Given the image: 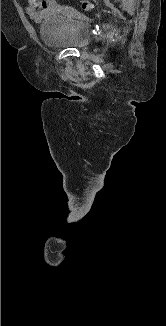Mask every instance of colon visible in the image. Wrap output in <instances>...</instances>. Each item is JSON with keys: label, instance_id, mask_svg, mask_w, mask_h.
Instances as JSON below:
<instances>
[{"label": "colon", "instance_id": "1", "mask_svg": "<svg viewBox=\"0 0 166 326\" xmlns=\"http://www.w3.org/2000/svg\"><path fill=\"white\" fill-rule=\"evenodd\" d=\"M81 5H82V8L85 10H90V9H92V6H93L89 0H81Z\"/></svg>", "mask_w": 166, "mask_h": 326}]
</instances>
